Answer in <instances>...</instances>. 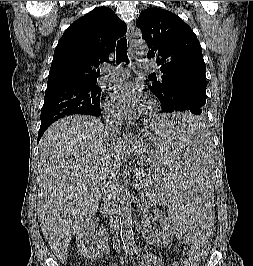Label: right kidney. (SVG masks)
<instances>
[{"label":"right kidney","instance_id":"1","mask_svg":"<svg viewBox=\"0 0 253 266\" xmlns=\"http://www.w3.org/2000/svg\"><path fill=\"white\" fill-rule=\"evenodd\" d=\"M76 242L81 255L95 260L102 257L108 247V236L102 225L90 219L78 229Z\"/></svg>","mask_w":253,"mask_h":266}]
</instances>
